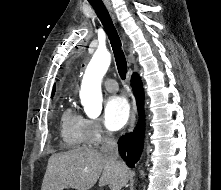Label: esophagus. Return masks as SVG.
I'll return each mask as SVG.
<instances>
[{"label": "esophagus", "instance_id": "34e87169", "mask_svg": "<svg viewBox=\"0 0 221 190\" xmlns=\"http://www.w3.org/2000/svg\"><path fill=\"white\" fill-rule=\"evenodd\" d=\"M104 3L106 5L108 11L110 12L111 16L113 17V19H115L110 2L108 0H104ZM129 75H131V72H129ZM135 120H136V103H135V98L132 95L131 114H130V119H129V123H128V131L129 132L132 131L134 128Z\"/></svg>", "mask_w": 221, "mask_h": 190}]
</instances>
